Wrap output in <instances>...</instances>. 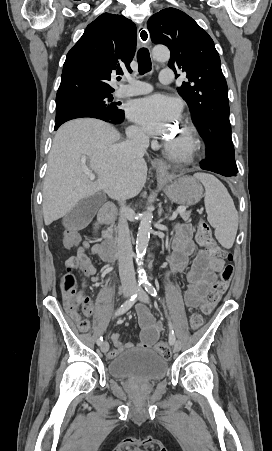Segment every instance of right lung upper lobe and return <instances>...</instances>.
I'll return each instance as SVG.
<instances>
[{
	"label": "right lung upper lobe",
	"mask_w": 272,
	"mask_h": 451,
	"mask_svg": "<svg viewBox=\"0 0 272 451\" xmlns=\"http://www.w3.org/2000/svg\"><path fill=\"white\" fill-rule=\"evenodd\" d=\"M136 38L131 20L122 15H100L68 52L56 99L111 94V76L123 74L122 69L131 70Z\"/></svg>",
	"instance_id": "obj_1"
}]
</instances>
